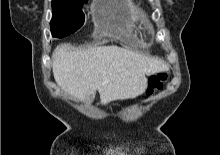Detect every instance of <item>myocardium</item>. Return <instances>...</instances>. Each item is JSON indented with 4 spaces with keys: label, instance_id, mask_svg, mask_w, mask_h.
Returning a JSON list of instances; mask_svg holds the SVG:
<instances>
[{
    "label": "myocardium",
    "instance_id": "myocardium-1",
    "mask_svg": "<svg viewBox=\"0 0 220 155\" xmlns=\"http://www.w3.org/2000/svg\"><path fill=\"white\" fill-rule=\"evenodd\" d=\"M145 28L147 31H152L153 30V25L151 22H147L145 25Z\"/></svg>",
    "mask_w": 220,
    "mask_h": 155
}]
</instances>
